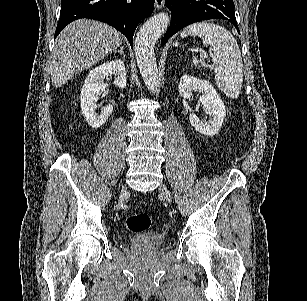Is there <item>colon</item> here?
Masks as SVG:
<instances>
[{"label": "colon", "mask_w": 307, "mask_h": 301, "mask_svg": "<svg viewBox=\"0 0 307 301\" xmlns=\"http://www.w3.org/2000/svg\"><path fill=\"white\" fill-rule=\"evenodd\" d=\"M152 223V217L148 213L132 214L126 219V227L129 231L140 233L146 231Z\"/></svg>", "instance_id": "obj_1"}]
</instances>
